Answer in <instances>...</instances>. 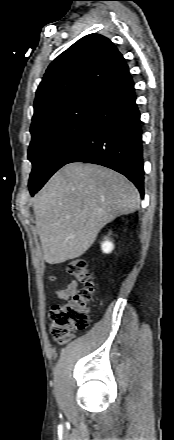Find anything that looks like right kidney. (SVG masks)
<instances>
[{"label":"right kidney","mask_w":174,"mask_h":440,"mask_svg":"<svg viewBox=\"0 0 174 440\" xmlns=\"http://www.w3.org/2000/svg\"><path fill=\"white\" fill-rule=\"evenodd\" d=\"M101 248L102 251L104 253H110L113 249H114V245L111 241L109 240H105L102 244H101Z\"/></svg>","instance_id":"ca27d5eb"}]
</instances>
